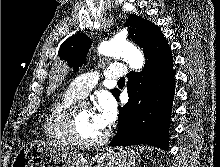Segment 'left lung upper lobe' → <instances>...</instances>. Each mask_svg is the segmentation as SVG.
Instances as JSON below:
<instances>
[{
  "label": "left lung upper lobe",
  "mask_w": 220,
  "mask_h": 167,
  "mask_svg": "<svg viewBox=\"0 0 220 167\" xmlns=\"http://www.w3.org/2000/svg\"><path fill=\"white\" fill-rule=\"evenodd\" d=\"M126 25L129 26L128 39L143 48L146 59L151 56L157 57L170 50L161 30L150 21L130 15ZM89 47L90 42L86 34H75L61 44L58 55L77 71L79 66L85 63ZM111 92L116 96L119 91L113 89Z\"/></svg>",
  "instance_id": "obj_1"
}]
</instances>
